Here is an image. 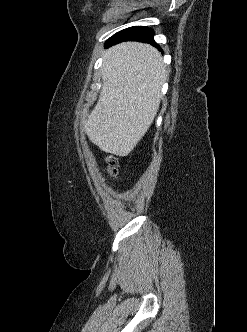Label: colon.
Masks as SVG:
<instances>
[{
    "instance_id": "obj_1",
    "label": "colon",
    "mask_w": 247,
    "mask_h": 332,
    "mask_svg": "<svg viewBox=\"0 0 247 332\" xmlns=\"http://www.w3.org/2000/svg\"><path fill=\"white\" fill-rule=\"evenodd\" d=\"M105 162H106V169L107 172L111 176H115L117 173V168H116V159L112 155H108L105 157Z\"/></svg>"
}]
</instances>
